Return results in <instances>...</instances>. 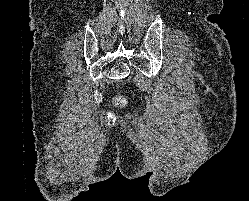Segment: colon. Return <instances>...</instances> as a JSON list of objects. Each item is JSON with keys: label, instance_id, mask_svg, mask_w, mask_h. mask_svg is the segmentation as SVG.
Wrapping results in <instances>:
<instances>
[{"label": "colon", "instance_id": "1", "mask_svg": "<svg viewBox=\"0 0 249 201\" xmlns=\"http://www.w3.org/2000/svg\"><path fill=\"white\" fill-rule=\"evenodd\" d=\"M117 103L120 104V105H122V104L125 103V100L122 99V98H119V99L117 100Z\"/></svg>", "mask_w": 249, "mask_h": 201}]
</instances>
